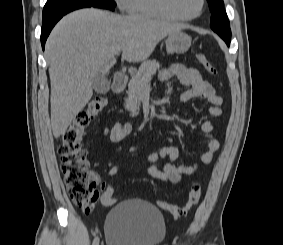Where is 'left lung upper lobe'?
<instances>
[{"mask_svg":"<svg viewBox=\"0 0 283 245\" xmlns=\"http://www.w3.org/2000/svg\"><path fill=\"white\" fill-rule=\"evenodd\" d=\"M211 15V28L225 41L231 40L229 20L224 10L223 0H207Z\"/></svg>","mask_w":283,"mask_h":245,"instance_id":"obj_1","label":"left lung upper lobe"}]
</instances>
